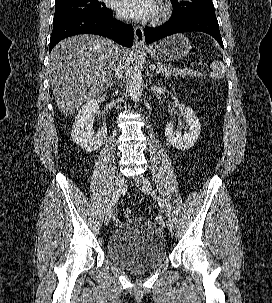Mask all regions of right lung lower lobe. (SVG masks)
<instances>
[{"label": "right lung lower lobe", "instance_id": "right-lung-lower-lobe-1", "mask_svg": "<svg viewBox=\"0 0 272 303\" xmlns=\"http://www.w3.org/2000/svg\"><path fill=\"white\" fill-rule=\"evenodd\" d=\"M83 33L101 35L122 46L133 45L132 27L114 19L113 12L105 15L87 13L53 22L50 51L62 39Z\"/></svg>", "mask_w": 272, "mask_h": 303}]
</instances>
